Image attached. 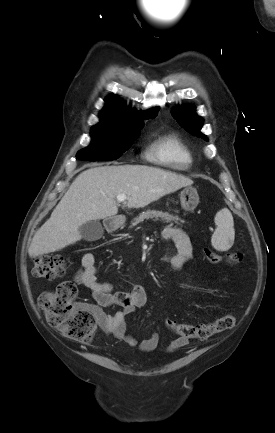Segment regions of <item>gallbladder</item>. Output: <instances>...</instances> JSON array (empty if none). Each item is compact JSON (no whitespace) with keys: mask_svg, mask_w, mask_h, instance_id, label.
I'll list each match as a JSON object with an SVG mask.
<instances>
[{"mask_svg":"<svg viewBox=\"0 0 275 433\" xmlns=\"http://www.w3.org/2000/svg\"><path fill=\"white\" fill-rule=\"evenodd\" d=\"M82 238L86 241H96L103 236V227L98 220L89 221L79 227Z\"/></svg>","mask_w":275,"mask_h":433,"instance_id":"bac80fb5","label":"gallbladder"}]
</instances>
